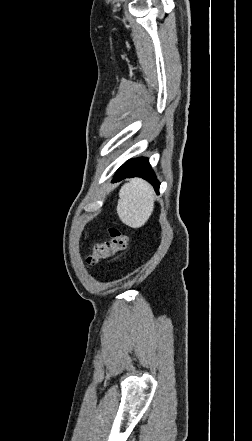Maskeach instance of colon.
<instances>
[{"label":"colon","instance_id":"5ec220e1","mask_svg":"<svg viewBox=\"0 0 252 441\" xmlns=\"http://www.w3.org/2000/svg\"><path fill=\"white\" fill-rule=\"evenodd\" d=\"M126 245V235L117 228H111L109 229V239L107 241L93 245L90 253L85 258L86 264L92 267L117 252L124 250Z\"/></svg>","mask_w":252,"mask_h":441}]
</instances>
